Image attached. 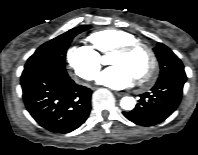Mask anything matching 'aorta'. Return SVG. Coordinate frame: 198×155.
<instances>
[{
    "label": "aorta",
    "mask_w": 198,
    "mask_h": 155,
    "mask_svg": "<svg viewBox=\"0 0 198 155\" xmlns=\"http://www.w3.org/2000/svg\"><path fill=\"white\" fill-rule=\"evenodd\" d=\"M102 63L103 64L109 63V54L102 58ZM135 104H136V101L133 97L126 96V97H123L120 101L121 108L127 111L133 110L135 107Z\"/></svg>",
    "instance_id": "1"
}]
</instances>
